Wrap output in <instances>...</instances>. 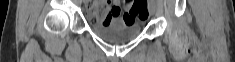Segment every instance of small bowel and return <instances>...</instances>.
Instances as JSON below:
<instances>
[{
  "label": "small bowel",
  "mask_w": 235,
  "mask_h": 62,
  "mask_svg": "<svg viewBox=\"0 0 235 62\" xmlns=\"http://www.w3.org/2000/svg\"><path fill=\"white\" fill-rule=\"evenodd\" d=\"M121 2L119 0H114L111 2L108 8H104L103 4L100 2H94L88 9V17L92 22L114 23L116 21L127 22V13L121 17ZM125 6L127 9L130 8V2L126 1Z\"/></svg>",
  "instance_id": "obj_1"
}]
</instances>
